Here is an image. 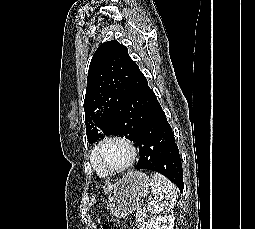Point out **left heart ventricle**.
I'll return each mask as SVG.
<instances>
[{"label": "left heart ventricle", "mask_w": 255, "mask_h": 229, "mask_svg": "<svg viewBox=\"0 0 255 229\" xmlns=\"http://www.w3.org/2000/svg\"><path fill=\"white\" fill-rule=\"evenodd\" d=\"M130 157L128 148L119 142L105 144L98 153L100 162L110 168L124 165Z\"/></svg>", "instance_id": "obj_1"}]
</instances>
